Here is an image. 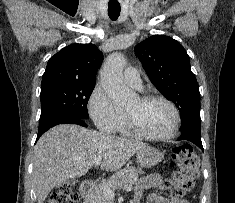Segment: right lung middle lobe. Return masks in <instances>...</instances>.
Returning <instances> with one entry per match:
<instances>
[{"mask_svg": "<svg viewBox=\"0 0 235 203\" xmlns=\"http://www.w3.org/2000/svg\"><path fill=\"white\" fill-rule=\"evenodd\" d=\"M95 83L60 82L41 87L39 123L60 116L88 119L87 103Z\"/></svg>", "mask_w": 235, "mask_h": 203, "instance_id": "right-lung-middle-lobe-1", "label": "right lung middle lobe"}]
</instances>
